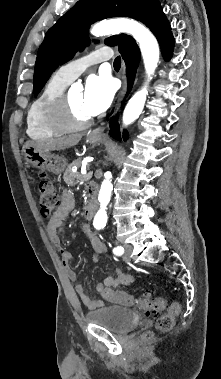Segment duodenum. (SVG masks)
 Listing matches in <instances>:
<instances>
[{"instance_id": "1", "label": "duodenum", "mask_w": 221, "mask_h": 379, "mask_svg": "<svg viewBox=\"0 0 221 379\" xmlns=\"http://www.w3.org/2000/svg\"><path fill=\"white\" fill-rule=\"evenodd\" d=\"M88 192L90 200L86 207V217L92 218L98 206L96 187L93 184H90L88 186Z\"/></svg>"}]
</instances>
